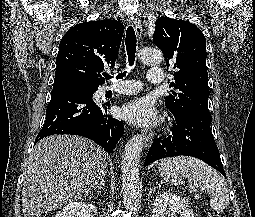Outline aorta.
<instances>
[{"label":"aorta","mask_w":255,"mask_h":217,"mask_svg":"<svg viewBox=\"0 0 255 217\" xmlns=\"http://www.w3.org/2000/svg\"><path fill=\"white\" fill-rule=\"evenodd\" d=\"M138 56L145 64H160L162 53L153 48H143ZM143 148V136L134 135L126 144L121 162L122 194L125 208L135 211L139 202V161Z\"/></svg>","instance_id":"1"}]
</instances>
